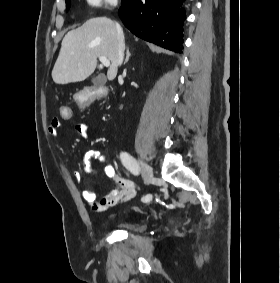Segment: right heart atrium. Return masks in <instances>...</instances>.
<instances>
[{"label":"right heart atrium","instance_id":"1","mask_svg":"<svg viewBox=\"0 0 280 283\" xmlns=\"http://www.w3.org/2000/svg\"><path fill=\"white\" fill-rule=\"evenodd\" d=\"M116 2L117 0H86L87 5L93 8L114 6Z\"/></svg>","mask_w":280,"mask_h":283}]
</instances>
